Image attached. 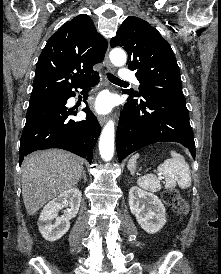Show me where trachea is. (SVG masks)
I'll use <instances>...</instances> for the list:
<instances>
[{
    "instance_id": "3493384b",
    "label": "trachea",
    "mask_w": 221,
    "mask_h": 274,
    "mask_svg": "<svg viewBox=\"0 0 221 274\" xmlns=\"http://www.w3.org/2000/svg\"><path fill=\"white\" fill-rule=\"evenodd\" d=\"M107 77L108 79L112 82V83H116V84H126L127 82L120 80L119 78L115 77L114 75L107 73Z\"/></svg>"
}]
</instances>
